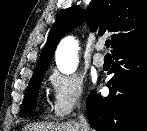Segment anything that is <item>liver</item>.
Wrapping results in <instances>:
<instances>
[{"instance_id":"obj_1","label":"liver","mask_w":147,"mask_h":131,"mask_svg":"<svg viewBox=\"0 0 147 131\" xmlns=\"http://www.w3.org/2000/svg\"><path fill=\"white\" fill-rule=\"evenodd\" d=\"M22 131H81V127L77 122H66L62 124L42 122L27 124Z\"/></svg>"}]
</instances>
